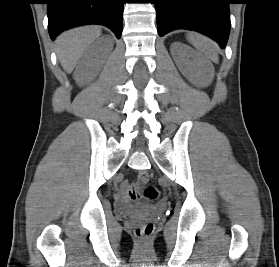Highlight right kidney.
<instances>
[{"label":"right kidney","mask_w":279,"mask_h":267,"mask_svg":"<svg viewBox=\"0 0 279 267\" xmlns=\"http://www.w3.org/2000/svg\"><path fill=\"white\" fill-rule=\"evenodd\" d=\"M83 69H85V61L80 65V67H79V70L81 71V70H83Z\"/></svg>","instance_id":"obj_1"}]
</instances>
